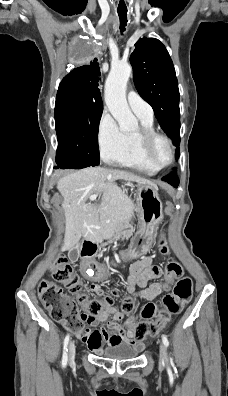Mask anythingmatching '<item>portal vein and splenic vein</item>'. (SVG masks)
<instances>
[{"label":"portal vein and splenic vein","instance_id":"18ae733b","mask_svg":"<svg viewBox=\"0 0 228 396\" xmlns=\"http://www.w3.org/2000/svg\"><path fill=\"white\" fill-rule=\"evenodd\" d=\"M97 196H98V194H92V195L89 197V199H90L91 201H94V200H96Z\"/></svg>","mask_w":228,"mask_h":396}]
</instances>
